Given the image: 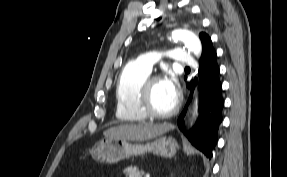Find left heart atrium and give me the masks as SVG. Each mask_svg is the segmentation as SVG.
I'll return each instance as SVG.
<instances>
[{
  "label": "left heart atrium",
  "mask_w": 287,
  "mask_h": 177,
  "mask_svg": "<svg viewBox=\"0 0 287 177\" xmlns=\"http://www.w3.org/2000/svg\"><path fill=\"white\" fill-rule=\"evenodd\" d=\"M162 81L174 95H177V82L173 75L165 77Z\"/></svg>",
  "instance_id": "obj_1"
}]
</instances>
